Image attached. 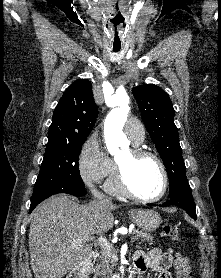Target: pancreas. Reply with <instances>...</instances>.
Masks as SVG:
<instances>
[{
	"instance_id": "obj_1",
	"label": "pancreas",
	"mask_w": 221,
	"mask_h": 278,
	"mask_svg": "<svg viewBox=\"0 0 221 278\" xmlns=\"http://www.w3.org/2000/svg\"><path fill=\"white\" fill-rule=\"evenodd\" d=\"M134 235V240H140V243L147 242L152 245L154 237L149 233L136 230L134 231ZM99 258L101 260L100 263L93 268V278H111L113 275V269L118 261L116 249L112 246V249L109 252L103 250Z\"/></svg>"
}]
</instances>
